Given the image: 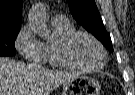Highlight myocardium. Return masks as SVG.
Here are the masks:
<instances>
[{"mask_svg":"<svg viewBox=\"0 0 135 95\" xmlns=\"http://www.w3.org/2000/svg\"><path fill=\"white\" fill-rule=\"evenodd\" d=\"M79 36H84L93 41L97 47L99 48L101 54H102V63L99 66L96 67H88L81 65L77 62H75L70 56H69V48L73 41L78 38ZM55 55L58 59V61L66 67L75 68L83 71H89V72H96L100 71L104 68L107 61V53L102 45V43L94 37L92 34L82 31V30H73L72 32L68 33L61 39H59L55 44Z\"/></svg>","mask_w":135,"mask_h":95,"instance_id":"myocardium-1","label":"myocardium"}]
</instances>
